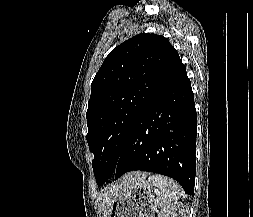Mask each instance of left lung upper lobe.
I'll return each mask as SVG.
<instances>
[{
	"label": "left lung upper lobe",
	"instance_id": "left-lung-upper-lobe-1",
	"mask_svg": "<svg viewBox=\"0 0 253 217\" xmlns=\"http://www.w3.org/2000/svg\"><path fill=\"white\" fill-rule=\"evenodd\" d=\"M183 68L169 41L149 33L130 38L106 57L91 84L86 113L98 186L114 173L136 119Z\"/></svg>",
	"mask_w": 253,
	"mask_h": 217
}]
</instances>
